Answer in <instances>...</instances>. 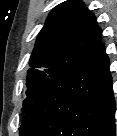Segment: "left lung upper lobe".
I'll return each mask as SVG.
<instances>
[{"label":"left lung upper lobe","instance_id":"5c2ea615","mask_svg":"<svg viewBox=\"0 0 117 136\" xmlns=\"http://www.w3.org/2000/svg\"><path fill=\"white\" fill-rule=\"evenodd\" d=\"M101 35L94 14L81 1L68 0L51 11L29 60L24 114L53 83L98 49Z\"/></svg>","mask_w":117,"mask_h":136}]
</instances>
